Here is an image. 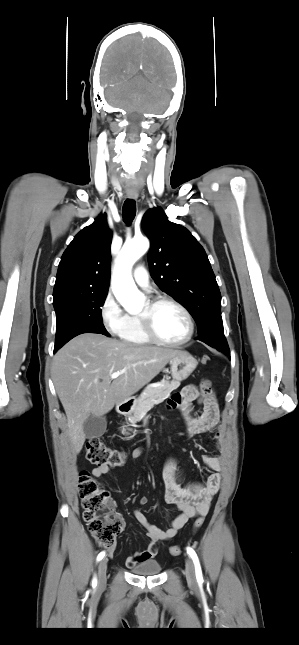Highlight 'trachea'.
<instances>
[{"label": "trachea", "mask_w": 299, "mask_h": 645, "mask_svg": "<svg viewBox=\"0 0 299 645\" xmlns=\"http://www.w3.org/2000/svg\"><path fill=\"white\" fill-rule=\"evenodd\" d=\"M136 215V205L135 201L132 199H127L124 202L122 209L123 220L126 224L130 225Z\"/></svg>", "instance_id": "obj_1"}]
</instances>
